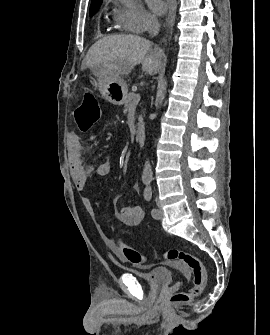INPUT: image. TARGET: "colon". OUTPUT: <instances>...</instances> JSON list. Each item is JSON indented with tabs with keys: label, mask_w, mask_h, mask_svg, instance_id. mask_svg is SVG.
<instances>
[{
	"label": "colon",
	"mask_w": 270,
	"mask_h": 335,
	"mask_svg": "<svg viewBox=\"0 0 270 335\" xmlns=\"http://www.w3.org/2000/svg\"><path fill=\"white\" fill-rule=\"evenodd\" d=\"M75 122L78 124L82 133L89 132L99 121L101 117V109L98 99L92 94H85L81 105L77 110L73 111ZM117 254L126 262L135 266H144L146 257L136 250L119 245ZM165 257L172 261L173 266H180L190 271L192 276V286L188 292H178L172 295L171 302L174 304L184 303L192 298L201 295L206 286V272L204 265L199 257L185 249L172 248L169 249Z\"/></svg>",
	"instance_id": "1"
}]
</instances>
